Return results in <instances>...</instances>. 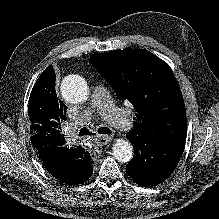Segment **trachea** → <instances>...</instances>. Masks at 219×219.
Returning a JSON list of instances; mask_svg holds the SVG:
<instances>
[{
  "instance_id": "trachea-1",
  "label": "trachea",
  "mask_w": 219,
  "mask_h": 219,
  "mask_svg": "<svg viewBox=\"0 0 219 219\" xmlns=\"http://www.w3.org/2000/svg\"><path fill=\"white\" fill-rule=\"evenodd\" d=\"M98 133L99 134H111L112 131L108 127H100L98 128ZM95 135V133L90 132L87 128H82L79 131V136H91Z\"/></svg>"
}]
</instances>
